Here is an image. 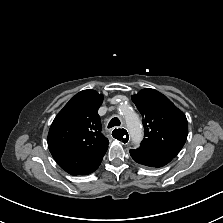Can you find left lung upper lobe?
<instances>
[{"label":"left lung upper lobe","mask_w":223,"mask_h":223,"mask_svg":"<svg viewBox=\"0 0 223 223\" xmlns=\"http://www.w3.org/2000/svg\"><path fill=\"white\" fill-rule=\"evenodd\" d=\"M132 100L143 117L144 139L141 147L175 157L187 139L185 114L154 89H143L132 96Z\"/></svg>","instance_id":"obj_1"}]
</instances>
